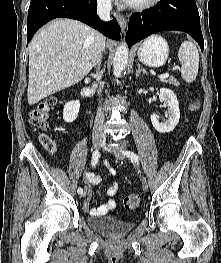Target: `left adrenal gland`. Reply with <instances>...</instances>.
<instances>
[{"mask_svg": "<svg viewBox=\"0 0 221 263\" xmlns=\"http://www.w3.org/2000/svg\"><path fill=\"white\" fill-rule=\"evenodd\" d=\"M147 74L146 70L140 67V64H137V70H136V78L139 77L140 73Z\"/></svg>", "mask_w": 221, "mask_h": 263, "instance_id": "obj_1", "label": "left adrenal gland"}]
</instances>
